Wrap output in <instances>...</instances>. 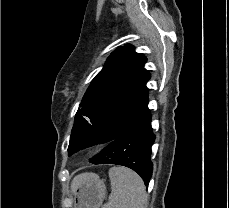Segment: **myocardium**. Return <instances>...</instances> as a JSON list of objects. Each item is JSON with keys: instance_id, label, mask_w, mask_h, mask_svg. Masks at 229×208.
I'll list each match as a JSON object with an SVG mask.
<instances>
[{"instance_id": "1", "label": "myocardium", "mask_w": 229, "mask_h": 208, "mask_svg": "<svg viewBox=\"0 0 229 208\" xmlns=\"http://www.w3.org/2000/svg\"><path fill=\"white\" fill-rule=\"evenodd\" d=\"M112 146V140L107 137H100L92 141L85 149L88 156L94 157L107 151Z\"/></svg>"}]
</instances>
